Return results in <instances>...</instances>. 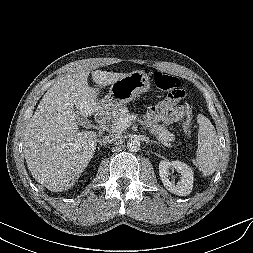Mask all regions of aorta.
Wrapping results in <instances>:
<instances>
[{
  "mask_svg": "<svg viewBox=\"0 0 253 253\" xmlns=\"http://www.w3.org/2000/svg\"><path fill=\"white\" fill-rule=\"evenodd\" d=\"M127 148L131 152H137L140 149V141L137 138H131L127 142Z\"/></svg>",
  "mask_w": 253,
  "mask_h": 253,
  "instance_id": "1",
  "label": "aorta"
}]
</instances>
